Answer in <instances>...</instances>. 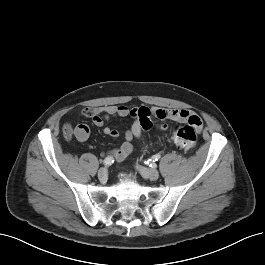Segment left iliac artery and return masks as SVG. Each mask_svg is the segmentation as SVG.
Here are the masks:
<instances>
[{
	"instance_id": "1",
	"label": "left iliac artery",
	"mask_w": 265,
	"mask_h": 265,
	"mask_svg": "<svg viewBox=\"0 0 265 265\" xmlns=\"http://www.w3.org/2000/svg\"><path fill=\"white\" fill-rule=\"evenodd\" d=\"M161 158V155L160 154H156L154 156H152L151 159H149L148 161H145L146 164H150V166L154 165L153 163L155 161H158L159 159Z\"/></svg>"
}]
</instances>
